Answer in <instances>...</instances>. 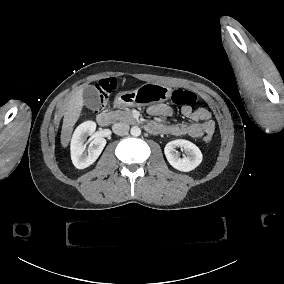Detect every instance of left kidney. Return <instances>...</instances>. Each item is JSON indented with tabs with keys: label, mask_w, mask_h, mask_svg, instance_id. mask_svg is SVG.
<instances>
[{
	"label": "left kidney",
	"mask_w": 284,
	"mask_h": 284,
	"mask_svg": "<svg viewBox=\"0 0 284 284\" xmlns=\"http://www.w3.org/2000/svg\"><path fill=\"white\" fill-rule=\"evenodd\" d=\"M176 147L183 148L184 156L179 158L175 153ZM168 163L178 171L190 172L200 165L203 156L200 149L192 142L184 139L172 140L164 148Z\"/></svg>",
	"instance_id": "obj_1"
}]
</instances>
